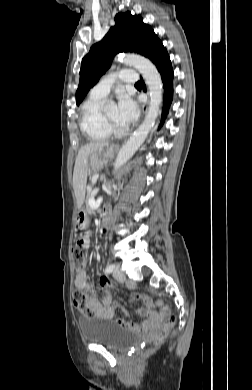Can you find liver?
Returning a JSON list of instances; mask_svg holds the SVG:
<instances>
[{"label":"liver","instance_id":"6515ba94","mask_svg":"<svg viewBox=\"0 0 252 390\" xmlns=\"http://www.w3.org/2000/svg\"><path fill=\"white\" fill-rule=\"evenodd\" d=\"M108 145L109 144L107 142H91L82 146L78 152L73 172V188L79 205L82 204L85 196L89 171L88 157L96 151L103 150Z\"/></svg>","mask_w":252,"mask_h":390}]
</instances>
